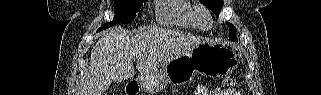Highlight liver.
Returning <instances> with one entry per match:
<instances>
[{
  "label": "liver",
  "mask_w": 321,
  "mask_h": 95,
  "mask_svg": "<svg viewBox=\"0 0 321 95\" xmlns=\"http://www.w3.org/2000/svg\"><path fill=\"white\" fill-rule=\"evenodd\" d=\"M203 41L197 36L161 28L133 35L115 27L103 34L93 47L89 69L77 95H103L112 82L132 78L135 57L140 73L154 72Z\"/></svg>",
  "instance_id": "obj_1"
}]
</instances>
